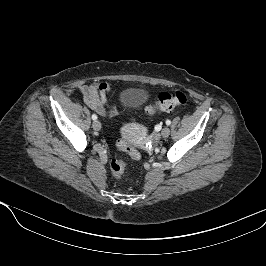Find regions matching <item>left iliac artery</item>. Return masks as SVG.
Here are the masks:
<instances>
[{
  "label": "left iliac artery",
  "mask_w": 266,
  "mask_h": 266,
  "mask_svg": "<svg viewBox=\"0 0 266 266\" xmlns=\"http://www.w3.org/2000/svg\"><path fill=\"white\" fill-rule=\"evenodd\" d=\"M166 124L167 125H170L171 124V121L170 120H166Z\"/></svg>",
  "instance_id": "obj_1"
}]
</instances>
